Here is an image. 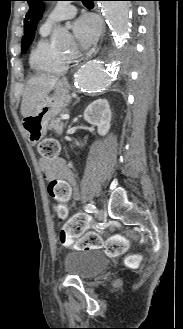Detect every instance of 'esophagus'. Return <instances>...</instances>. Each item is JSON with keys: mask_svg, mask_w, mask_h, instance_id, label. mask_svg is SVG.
I'll return each mask as SVG.
<instances>
[{"mask_svg": "<svg viewBox=\"0 0 183 329\" xmlns=\"http://www.w3.org/2000/svg\"><path fill=\"white\" fill-rule=\"evenodd\" d=\"M97 11H98V14H99V16H100V18H101V25H102V39H103L104 34H105L106 25H105V21H104L103 16L101 15L100 10L97 9ZM102 39H101V42H102ZM101 42H100V43H101ZM97 51H98V49H97L96 51H94L93 53H91L89 56H91V55H93V56L96 55Z\"/></svg>", "mask_w": 183, "mask_h": 329, "instance_id": "esophagus-1", "label": "esophagus"}]
</instances>
